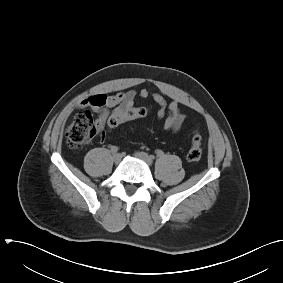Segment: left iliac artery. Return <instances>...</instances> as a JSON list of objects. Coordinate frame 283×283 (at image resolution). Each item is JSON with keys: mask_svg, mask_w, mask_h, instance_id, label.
<instances>
[{"mask_svg": "<svg viewBox=\"0 0 283 283\" xmlns=\"http://www.w3.org/2000/svg\"><path fill=\"white\" fill-rule=\"evenodd\" d=\"M163 155H164L163 151L159 150V151L157 152V156H158V157H162ZM151 157H152V159H154V156H151Z\"/></svg>", "mask_w": 283, "mask_h": 283, "instance_id": "44dca946", "label": "left iliac artery"}]
</instances>
